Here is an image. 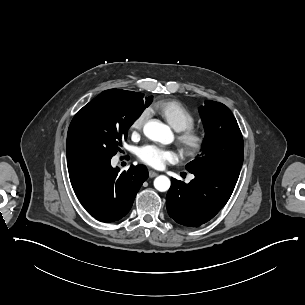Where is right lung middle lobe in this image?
I'll return each mask as SVG.
<instances>
[{"mask_svg":"<svg viewBox=\"0 0 305 305\" xmlns=\"http://www.w3.org/2000/svg\"><path fill=\"white\" fill-rule=\"evenodd\" d=\"M94 98L72 119L67 134V163H107L121 151L128 129L152 102L144 94L134 92L113 99L106 96Z\"/></svg>","mask_w":305,"mask_h":305,"instance_id":"1","label":"right lung middle lobe"}]
</instances>
